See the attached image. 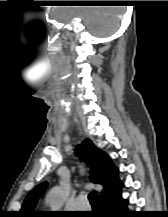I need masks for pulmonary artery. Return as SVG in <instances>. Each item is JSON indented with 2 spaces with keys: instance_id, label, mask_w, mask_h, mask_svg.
Returning <instances> with one entry per match:
<instances>
[{
  "instance_id": "obj_1",
  "label": "pulmonary artery",
  "mask_w": 168,
  "mask_h": 217,
  "mask_svg": "<svg viewBox=\"0 0 168 217\" xmlns=\"http://www.w3.org/2000/svg\"><path fill=\"white\" fill-rule=\"evenodd\" d=\"M75 203H76V208L78 210H86L87 208H89V205L86 200V196L83 194H79L76 197Z\"/></svg>"
}]
</instances>
